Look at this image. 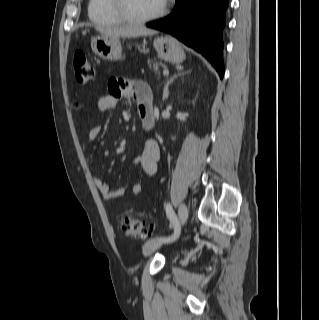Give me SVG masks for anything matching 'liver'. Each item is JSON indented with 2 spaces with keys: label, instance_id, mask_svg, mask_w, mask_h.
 Listing matches in <instances>:
<instances>
[{
  "label": "liver",
  "instance_id": "1",
  "mask_svg": "<svg viewBox=\"0 0 319 320\" xmlns=\"http://www.w3.org/2000/svg\"><path fill=\"white\" fill-rule=\"evenodd\" d=\"M105 35L114 37H139L156 34V31L147 29L144 26H126V27H106L98 28Z\"/></svg>",
  "mask_w": 319,
  "mask_h": 320
}]
</instances>
